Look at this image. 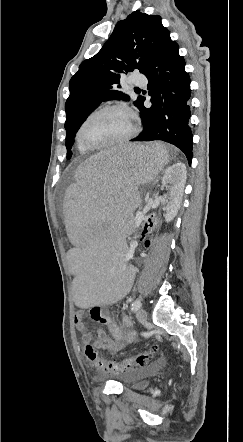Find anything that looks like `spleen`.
Segmentation results:
<instances>
[{"mask_svg":"<svg viewBox=\"0 0 243 442\" xmlns=\"http://www.w3.org/2000/svg\"><path fill=\"white\" fill-rule=\"evenodd\" d=\"M168 159L166 147L156 143L103 147L102 153L78 164L75 183H68L63 195L66 229L76 248L68 262L70 274H75V307H107L114 296L133 291L135 268L126 265L131 256L124 254L121 237H133L132 214L143 209L137 192L153 178L164 177Z\"/></svg>","mask_w":243,"mask_h":442,"instance_id":"3e777b00","label":"spleen"}]
</instances>
